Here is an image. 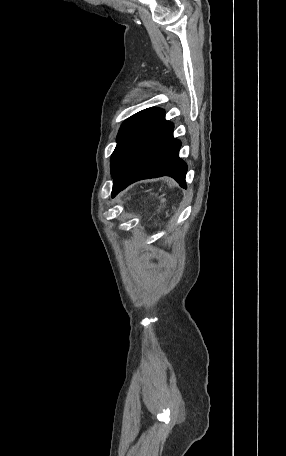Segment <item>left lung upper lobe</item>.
Here are the masks:
<instances>
[{
    "instance_id": "left-lung-upper-lobe-1",
    "label": "left lung upper lobe",
    "mask_w": 286,
    "mask_h": 456,
    "mask_svg": "<svg viewBox=\"0 0 286 456\" xmlns=\"http://www.w3.org/2000/svg\"><path fill=\"white\" fill-rule=\"evenodd\" d=\"M164 113L163 109L152 107L142 110L123 122L117 136V145L111 156V174L114 177L129 147L137 137Z\"/></svg>"
}]
</instances>
